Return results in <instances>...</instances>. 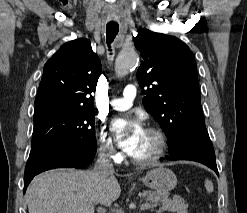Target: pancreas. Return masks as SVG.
Masks as SVG:
<instances>
[{"mask_svg": "<svg viewBox=\"0 0 247 213\" xmlns=\"http://www.w3.org/2000/svg\"><path fill=\"white\" fill-rule=\"evenodd\" d=\"M142 197L151 205V208H155L160 205L159 211H169L176 213H187L188 204L180 196H173L168 198L166 194H160L153 191H143Z\"/></svg>", "mask_w": 247, "mask_h": 213, "instance_id": "obj_1", "label": "pancreas"}]
</instances>
